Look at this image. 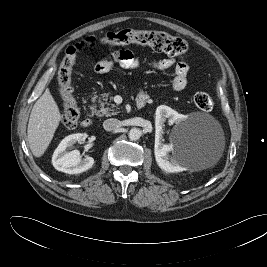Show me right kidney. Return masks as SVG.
Wrapping results in <instances>:
<instances>
[{
  "label": "right kidney",
  "mask_w": 267,
  "mask_h": 267,
  "mask_svg": "<svg viewBox=\"0 0 267 267\" xmlns=\"http://www.w3.org/2000/svg\"><path fill=\"white\" fill-rule=\"evenodd\" d=\"M87 138L85 133L72 134L65 137L52 156V164L58 171L68 174H78L87 171L94 164V159L87 156L81 159L78 150L67 151L75 143H82Z\"/></svg>",
  "instance_id": "obj_1"
}]
</instances>
